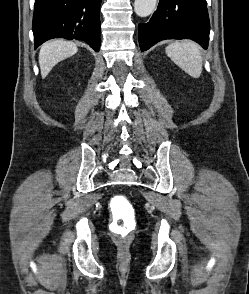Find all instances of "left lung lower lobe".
<instances>
[{
    "mask_svg": "<svg viewBox=\"0 0 249 294\" xmlns=\"http://www.w3.org/2000/svg\"><path fill=\"white\" fill-rule=\"evenodd\" d=\"M209 31L206 0H160L150 21L139 24V44L146 51L161 40L189 38L207 48Z\"/></svg>",
    "mask_w": 249,
    "mask_h": 294,
    "instance_id": "1",
    "label": "left lung lower lobe"
}]
</instances>
